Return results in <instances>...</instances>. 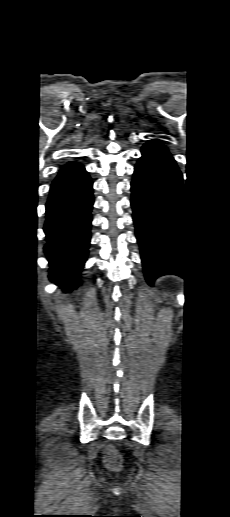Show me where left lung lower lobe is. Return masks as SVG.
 I'll list each match as a JSON object with an SVG mask.
<instances>
[{
	"label": "left lung lower lobe",
	"instance_id": "1",
	"mask_svg": "<svg viewBox=\"0 0 230 517\" xmlns=\"http://www.w3.org/2000/svg\"><path fill=\"white\" fill-rule=\"evenodd\" d=\"M131 183L133 220L146 280L187 274L182 264L183 178L160 143L144 144ZM185 268V269H184Z\"/></svg>",
	"mask_w": 230,
	"mask_h": 517
}]
</instances>
